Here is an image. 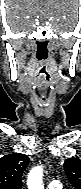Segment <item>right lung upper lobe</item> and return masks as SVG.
Returning a JSON list of instances; mask_svg holds the SVG:
<instances>
[{"instance_id":"obj_1","label":"right lung upper lobe","mask_w":81,"mask_h":189,"mask_svg":"<svg viewBox=\"0 0 81 189\" xmlns=\"http://www.w3.org/2000/svg\"><path fill=\"white\" fill-rule=\"evenodd\" d=\"M29 164V158L13 153L0 158V189H21V176Z\"/></svg>"}]
</instances>
